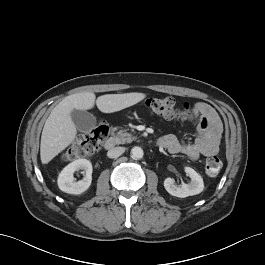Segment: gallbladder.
<instances>
[{
    "instance_id": "bac80fb5",
    "label": "gallbladder",
    "mask_w": 265,
    "mask_h": 265,
    "mask_svg": "<svg viewBox=\"0 0 265 265\" xmlns=\"http://www.w3.org/2000/svg\"><path fill=\"white\" fill-rule=\"evenodd\" d=\"M70 115L76 129L80 132L90 133L96 127V117L87 111L74 109Z\"/></svg>"
}]
</instances>
